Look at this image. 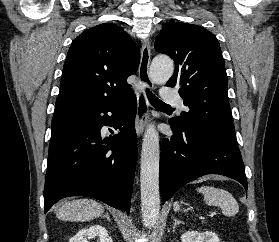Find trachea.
<instances>
[{
	"instance_id": "1",
	"label": "trachea",
	"mask_w": 279,
	"mask_h": 242,
	"mask_svg": "<svg viewBox=\"0 0 279 242\" xmlns=\"http://www.w3.org/2000/svg\"><path fill=\"white\" fill-rule=\"evenodd\" d=\"M146 95L149 100V102L157 107H167L171 108L170 105L165 104L163 101H161L158 97H156L148 88L146 89Z\"/></svg>"
}]
</instances>
